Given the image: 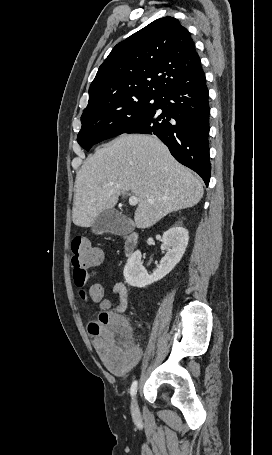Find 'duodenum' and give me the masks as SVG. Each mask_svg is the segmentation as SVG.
Segmentation results:
<instances>
[{"label":"duodenum","instance_id":"obj_1","mask_svg":"<svg viewBox=\"0 0 272 455\" xmlns=\"http://www.w3.org/2000/svg\"><path fill=\"white\" fill-rule=\"evenodd\" d=\"M139 243V235L136 232L128 233L124 236V252L130 257L136 250Z\"/></svg>","mask_w":272,"mask_h":455}]
</instances>
